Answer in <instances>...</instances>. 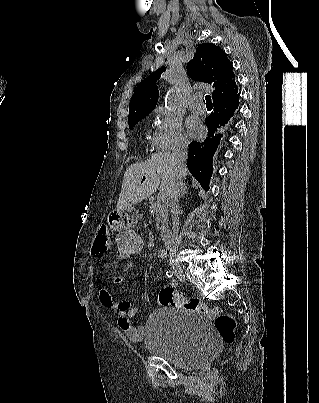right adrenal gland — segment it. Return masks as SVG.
<instances>
[{"mask_svg": "<svg viewBox=\"0 0 319 403\" xmlns=\"http://www.w3.org/2000/svg\"><path fill=\"white\" fill-rule=\"evenodd\" d=\"M187 192H188V191H187V186H186L185 183L182 182V183H181V187H180L179 196H180V197H183Z\"/></svg>", "mask_w": 319, "mask_h": 403, "instance_id": "right-adrenal-gland-1", "label": "right adrenal gland"}]
</instances>
